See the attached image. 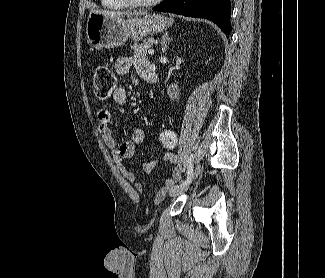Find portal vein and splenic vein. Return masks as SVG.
I'll return each instance as SVG.
<instances>
[{"instance_id":"18ae733b","label":"portal vein and splenic vein","mask_w":325,"mask_h":278,"mask_svg":"<svg viewBox=\"0 0 325 278\" xmlns=\"http://www.w3.org/2000/svg\"><path fill=\"white\" fill-rule=\"evenodd\" d=\"M148 53H149L150 55H153V54H154V49H149Z\"/></svg>"}]
</instances>
